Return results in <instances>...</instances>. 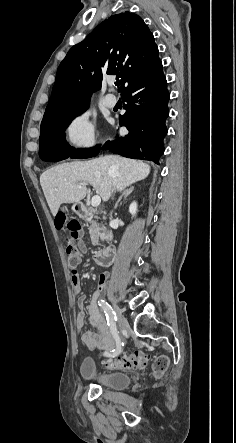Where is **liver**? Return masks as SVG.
Wrapping results in <instances>:
<instances>
[{
  "label": "liver",
  "mask_w": 236,
  "mask_h": 443,
  "mask_svg": "<svg viewBox=\"0 0 236 443\" xmlns=\"http://www.w3.org/2000/svg\"><path fill=\"white\" fill-rule=\"evenodd\" d=\"M150 166L142 161L118 155L100 156L89 161H75L55 166L40 176V184L53 216L63 203H78L85 198V185L91 184L103 201L114 191H122L131 184L145 179Z\"/></svg>",
  "instance_id": "6515ba94"
}]
</instances>
